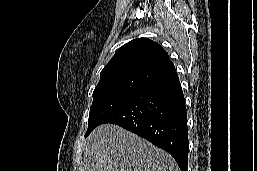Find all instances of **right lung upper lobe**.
Listing matches in <instances>:
<instances>
[{
	"label": "right lung upper lobe",
	"instance_id": "right-lung-upper-lobe-1",
	"mask_svg": "<svg viewBox=\"0 0 257 171\" xmlns=\"http://www.w3.org/2000/svg\"><path fill=\"white\" fill-rule=\"evenodd\" d=\"M176 74L168 53L148 38L134 39L120 47L100 74L96 88L110 85L146 88Z\"/></svg>",
	"mask_w": 257,
	"mask_h": 171
}]
</instances>
